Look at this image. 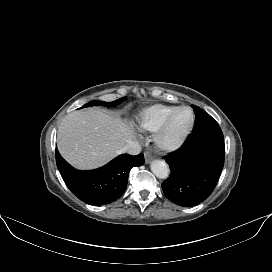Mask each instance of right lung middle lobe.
I'll return each instance as SVG.
<instances>
[{
  "label": "right lung middle lobe",
  "instance_id": "1",
  "mask_svg": "<svg viewBox=\"0 0 272 272\" xmlns=\"http://www.w3.org/2000/svg\"><path fill=\"white\" fill-rule=\"evenodd\" d=\"M123 100H124V98H120V99H118L116 101H113V102H110V103L109 102H104V101H92V102H89V103L85 104L81 108L90 107V106H107V107H111V106L118 105Z\"/></svg>",
  "mask_w": 272,
  "mask_h": 272
}]
</instances>
